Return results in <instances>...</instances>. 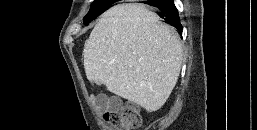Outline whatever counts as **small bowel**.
I'll return each mask as SVG.
<instances>
[{"mask_svg": "<svg viewBox=\"0 0 257 130\" xmlns=\"http://www.w3.org/2000/svg\"><path fill=\"white\" fill-rule=\"evenodd\" d=\"M94 103L98 109L108 111L117 107L119 100L116 97H109L107 95L101 94L94 98Z\"/></svg>", "mask_w": 257, "mask_h": 130, "instance_id": "small-bowel-1", "label": "small bowel"}]
</instances>
